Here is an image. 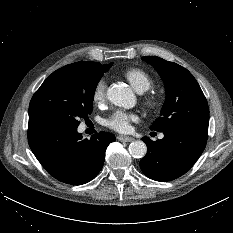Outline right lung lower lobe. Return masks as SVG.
<instances>
[{"mask_svg":"<svg viewBox=\"0 0 233 233\" xmlns=\"http://www.w3.org/2000/svg\"><path fill=\"white\" fill-rule=\"evenodd\" d=\"M116 140L108 132L82 139L77 127L57 123H29V146L41 165L57 180L81 185L101 170L107 146Z\"/></svg>","mask_w":233,"mask_h":233,"instance_id":"right-lung-lower-lobe-1","label":"right lung lower lobe"}]
</instances>
